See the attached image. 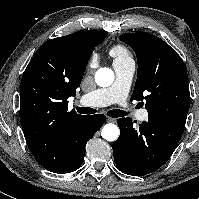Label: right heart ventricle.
Segmentation results:
<instances>
[{"instance_id":"e07e8e85","label":"right heart ventricle","mask_w":199,"mask_h":199,"mask_svg":"<svg viewBox=\"0 0 199 199\" xmlns=\"http://www.w3.org/2000/svg\"><path fill=\"white\" fill-rule=\"evenodd\" d=\"M110 54L115 58V61L130 59L129 51L122 45L113 46L110 50Z\"/></svg>"}]
</instances>
